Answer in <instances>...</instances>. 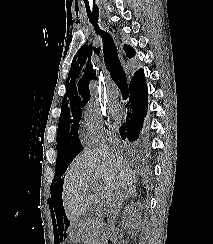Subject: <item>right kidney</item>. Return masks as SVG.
<instances>
[{
    "label": "right kidney",
    "mask_w": 213,
    "mask_h": 244,
    "mask_svg": "<svg viewBox=\"0 0 213 244\" xmlns=\"http://www.w3.org/2000/svg\"><path fill=\"white\" fill-rule=\"evenodd\" d=\"M141 203H132L130 205L129 210L126 211L124 217H123V224L125 227L131 226L134 228L135 226L138 225V219H139V214L137 213L136 207H139Z\"/></svg>",
    "instance_id": "obj_1"
}]
</instances>
